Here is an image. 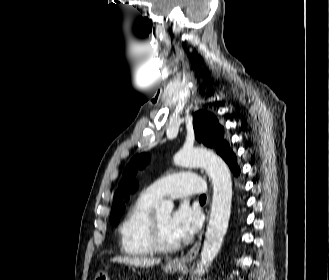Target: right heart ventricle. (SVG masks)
<instances>
[{
  "instance_id": "1",
  "label": "right heart ventricle",
  "mask_w": 329,
  "mask_h": 280,
  "mask_svg": "<svg viewBox=\"0 0 329 280\" xmlns=\"http://www.w3.org/2000/svg\"><path fill=\"white\" fill-rule=\"evenodd\" d=\"M157 199L145 191L128 208L119 226L123 253L141 257L154 251L148 236V222Z\"/></svg>"
}]
</instances>
